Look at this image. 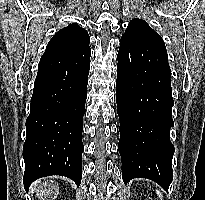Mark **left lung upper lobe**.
I'll use <instances>...</instances> for the list:
<instances>
[{
    "instance_id": "5c2ea615",
    "label": "left lung upper lobe",
    "mask_w": 205,
    "mask_h": 200,
    "mask_svg": "<svg viewBox=\"0 0 205 200\" xmlns=\"http://www.w3.org/2000/svg\"><path fill=\"white\" fill-rule=\"evenodd\" d=\"M122 41H159L163 42L162 38L151 28L148 23L141 19H132L125 33L121 37Z\"/></svg>"
}]
</instances>
